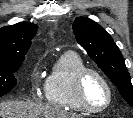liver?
I'll use <instances>...</instances> for the list:
<instances>
[{
	"label": "liver",
	"mask_w": 133,
	"mask_h": 118,
	"mask_svg": "<svg viewBox=\"0 0 133 118\" xmlns=\"http://www.w3.org/2000/svg\"><path fill=\"white\" fill-rule=\"evenodd\" d=\"M0 118H80V116L48 105L6 101L0 103Z\"/></svg>",
	"instance_id": "6515ba94"
}]
</instances>
